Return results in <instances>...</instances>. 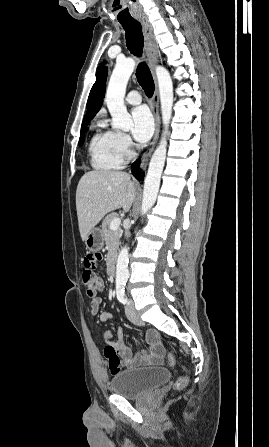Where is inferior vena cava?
I'll return each mask as SVG.
<instances>
[{"label":"inferior vena cava","mask_w":269,"mask_h":447,"mask_svg":"<svg viewBox=\"0 0 269 447\" xmlns=\"http://www.w3.org/2000/svg\"><path fill=\"white\" fill-rule=\"evenodd\" d=\"M126 235H129V231H126Z\"/></svg>","instance_id":"obj_1"}]
</instances>
